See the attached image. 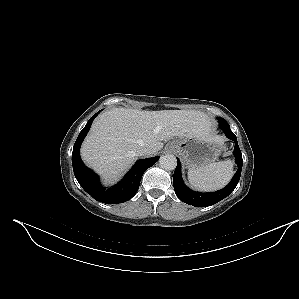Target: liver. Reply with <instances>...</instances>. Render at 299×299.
Wrapping results in <instances>:
<instances>
[{"label": "liver", "mask_w": 299, "mask_h": 299, "mask_svg": "<svg viewBox=\"0 0 299 299\" xmlns=\"http://www.w3.org/2000/svg\"><path fill=\"white\" fill-rule=\"evenodd\" d=\"M210 127L208 115L200 111L113 108L93 123L81 157L112 183L133 163L139 149L149 148L154 155L163 148L162 141L205 136Z\"/></svg>", "instance_id": "liver-1"}]
</instances>
